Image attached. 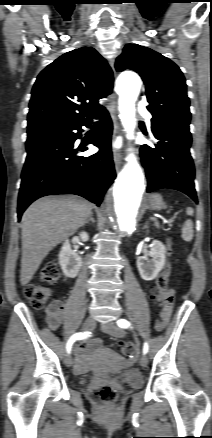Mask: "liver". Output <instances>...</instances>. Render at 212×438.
<instances>
[{
    "label": "liver",
    "mask_w": 212,
    "mask_h": 438,
    "mask_svg": "<svg viewBox=\"0 0 212 438\" xmlns=\"http://www.w3.org/2000/svg\"><path fill=\"white\" fill-rule=\"evenodd\" d=\"M92 205L75 196L44 197L22 216L21 285H27L43 259L89 218Z\"/></svg>",
    "instance_id": "1"
}]
</instances>
